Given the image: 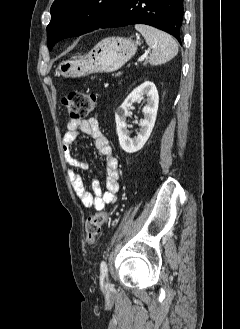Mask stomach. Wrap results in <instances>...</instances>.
<instances>
[{"mask_svg": "<svg viewBox=\"0 0 240 329\" xmlns=\"http://www.w3.org/2000/svg\"><path fill=\"white\" fill-rule=\"evenodd\" d=\"M137 45L131 38L108 37L100 41L87 55L60 62L56 72L65 78L113 72L135 55Z\"/></svg>", "mask_w": 240, "mask_h": 329, "instance_id": "obj_1", "label": "stomach"}]
</instances>
